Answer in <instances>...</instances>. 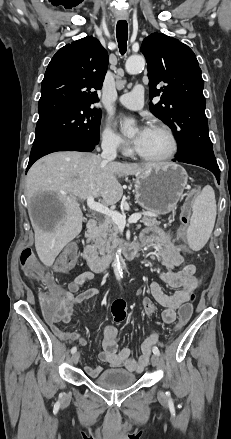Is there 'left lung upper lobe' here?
Here are the masks:
<instances>
[{"mask_svg":"<svg viewBox=\"0 0 231 439\" xmlns=\"http://www.w3.org/2000/svg\"><path fill=\"white\" fill-rule=\"evenodd\" d=\"M141 52L147 60L150 99L161 96L151 112L167 124L178 141V153L214 156L205 115L204 81L194 52L162 33L144 39Z\"/></svg>","mask_w":231,"mask_h":439,"instance_id":"5c2ea615","label":"left lung upper lobe"}]
</instances>
